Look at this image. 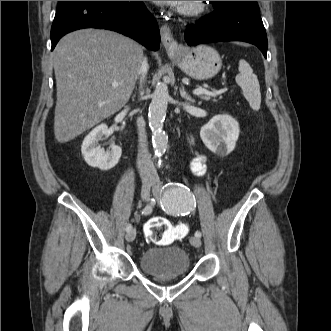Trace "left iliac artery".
<instances>
[{
	"label": "left iliac artery",
	"instance_id": "obj_1",
	"mask_svg": "<svg viewBox=\"0 0 331 331\" xmlns=\"http://www.w3.org/2000/svg\"><path fill=\"white\" fill-rule=\"evenodd\" d=\"M162 209L173 216H187L195 208V198L190 189L181 183H169L164 188L161 199ZM195 236L201 237L196 231Z\"/></svg>",
	"mask_w": 331,
	"mask_h": 331
}]
</instances>
